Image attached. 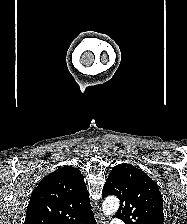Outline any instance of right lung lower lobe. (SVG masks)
<instances>
[{"mask_svg": "<svg viewBox=\"0 0 187 224\" xmlns=\"http://www.w3.org/2000/svg\"><path fill=\"white\" fill-rule=\"evenodd\" d=\"M87 224H96V221L93 219V220L87 222Z\"/></svg>", "mask_w": 187, "mask_h": 224, "instance_id": "98d812e1", "label": "right lung lower lobe"}]
</instances>
